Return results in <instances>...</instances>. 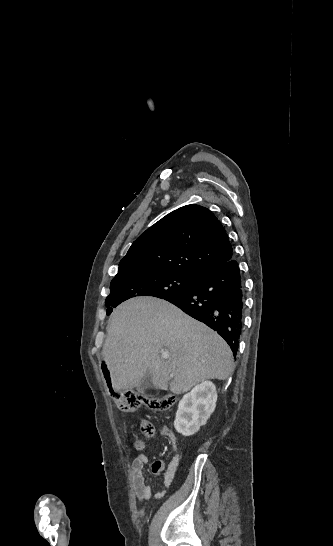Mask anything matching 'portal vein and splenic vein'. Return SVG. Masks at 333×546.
Here are the masks:
<instances>
[{
    "label": "portal vein and splenic vein",
    "mask_w": 333,
    "mask_h": 546,
    "mask_svg": "<svg viewBox=\"0 0 333 546\" xmlns=\"http://www.w3.org/2000/svg\"><path fill=\"white\" fill-rule=\"evenodd\" d=\"M161 356H162V358H164V359H168V358H169V354L166 353V352H163Z\"/></svg>",
    "instance_id": "portal-vein-and-splenic-vein-1"
}]
</instances>
